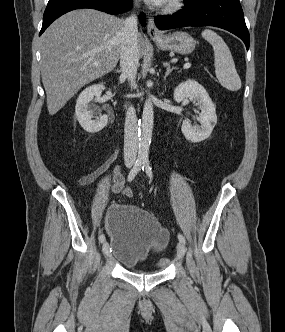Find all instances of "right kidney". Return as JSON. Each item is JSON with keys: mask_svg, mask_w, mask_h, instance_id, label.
Returning <instances> with one entry per match:
<instances>
[{"mask_svg": "<svg viewBox=\"0 0 285 332\" xmlns=\"http://www.w3.org/2000/svg\"><path fill=\"white\" fill-rule=\"evenodd\" d=\"M104 89L103 84L89 86L81 92L76 101L75 115L77 120L81 127L89 133L99 132L108 123L107 115H101L96 120L92 119L93 111L89 108V103L93 98H99Z\"/></svg>", "mask_w": 285, "mask_h": 332, "instance_id": "obj_1", "label": "right kidney"}]
</instances>
